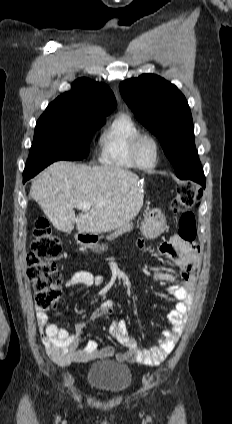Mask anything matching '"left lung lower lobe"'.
Instances as JSON below:
<instances>
[{
  "label": "left lung lower lobe",
  "instance_id": "obj_1",
  "mask_svg": "<svg viewBox=\"0 0 232 424\" xmlns=\"http://www.w3.org/2000/svg\"><path fill=\"white\" fill-rule=\"evenodd\" d=\"M183 179H190L193 180L203 186L205 188V176L203 173L202 167L197 168L196 170L192 171L191 174L186 175Z\"/></svg>",
  "mask_w": 232,
  "mask_h": 424
}]
</instances>
